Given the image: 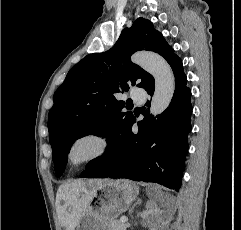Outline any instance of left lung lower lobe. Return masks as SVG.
<instances>
[{
	"label": "left lung lower lobe",
	"mask_w": 241,
	"mask_h": 230,
	"mask_svg": "<svg viewBox=\"0 0 241 230\" xmlns=\"http://www.w3.org/2000/svg\"><path fill=\"white\" fill-rule=\"evenodd\" d=\"M175 76V92L169 107L156 117L145 111L132 132L135 117L107 145L105 153L90 161L80 177L127 178L155 182L178 190L182 182L188 133L191 131V90L182 61L174 56L169 62ZM154 81L145 90L152 96ZM150 107L149 102L146 103Z\"/></svg>",
	"instance_id": "obj_1"
}]
</instances>
